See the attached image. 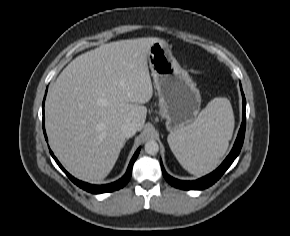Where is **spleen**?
<instances>
[{"mask_svg": "<svg viewBox=\"0 0 290 236\" xmlns=\"http://www.w3.org/2000/svg\"><path fill=\"white\" fill-rule=\"evenodd\" d=\"M234 129V115L227 98L211 100L197 119L168 135L169 146L181 166L201 176L213 171L227 151Z\"/></svg>", "mask_w": 290, "mask_h": 236, "instance_id": "obj_1", "label": "spleen"}]
</instances>
